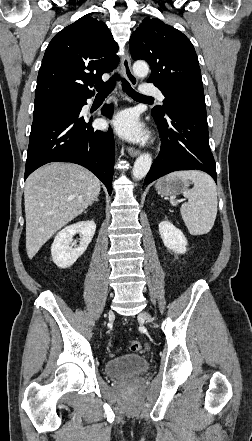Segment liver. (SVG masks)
Returning <instances> with one entry per match:
<instances>
[{
    "label": "liver",
    "mask_w": 252,
    "mask_h": 441,
    "mask_svg": "<svg viewBox=\"0 0 252 441\" xmlns=\"http://www.w3.org/2000/svg\"><path fill=\"white\" fill-rule=\"evenodd\" d=\"M100 188L99 179L77 164L54 162L34 171L24 189L28 257L33 258L53 234L82 214Z\"/></svg>",
    "instance_id": "1"
}]
</instances>
